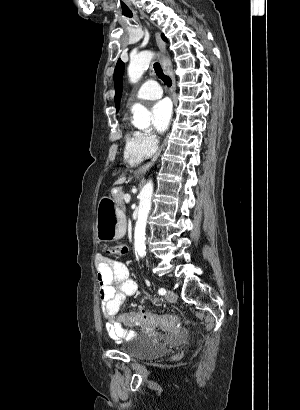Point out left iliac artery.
Instances as JSON below:
<instances>
[{"label":"left iliac artery","mask_w":300,"mask_h":410,"mask_svg":"<svg viewBox=\"0 0 300 410\" xmlns=\"http://www.w3.org/2000/svg\"><path fill=\"white\" fill-rule=\"evenodd\" d=\"M159 295H165L166 294V290L164 288H160L158 290Z\"/></svg>","instance_id":"1"}]
</instances>
